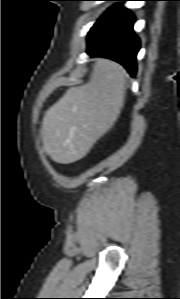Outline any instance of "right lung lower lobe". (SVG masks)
<instances>
[{
  "label": "right lung lower lobe",
  "mask_w": 180,
  "mask_h": 299,
  "mask_svg": "<svg viewBox=\"0 0 180 299\" xmlns=\"http://www.w3.org/2000/svg\"><path fill=\"white\" fill-rule=\"evenodd\" d=\"M134 22V15L128 9L114 5L97 20L88 33L87 52L92 56L117 61L131 76H135L140 41L133 30Z\"/></svg>",
  "instance_id": "98d812e1"
}]
</instances>
